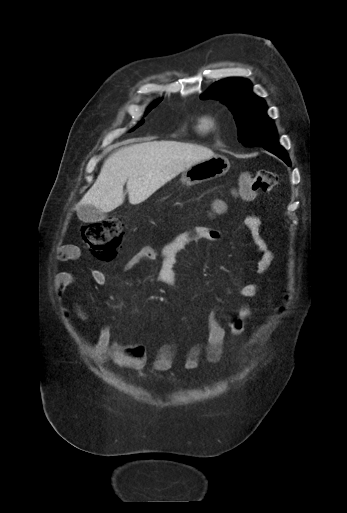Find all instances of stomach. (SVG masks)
<instances>
[{"mask_svg":"<svg viewBox=\"0 0 347 513\" xmlns=\"http://www.w3.org/2000/svg\"><path fill=\"white\" fill-rule=\"evenodd\" d=\"M230 168L229 160L221 155L193 164L182 172L181 181L186 185H196L224 175Z\"/></svg>","mask_w":347,"mask_h":513,"instance_id":"1","label":"stomach"}]
</instances>
